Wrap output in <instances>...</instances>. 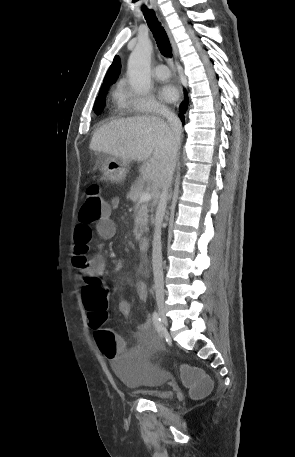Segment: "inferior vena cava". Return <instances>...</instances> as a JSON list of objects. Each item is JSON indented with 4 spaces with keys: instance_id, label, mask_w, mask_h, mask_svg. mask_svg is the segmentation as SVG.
<instances>
[{
    "instance_id": "inferior-vena-cava-1",
    "label": "inferior vena cava",
    "mask_w": 295,
    "mask_h": 457,
    "mask_svg": "<svg viewBox=\"0 0 295 457\" xmlns=\"http://www.w3.org/2000/svg\"><path fill=\"white\" fill-rule=\"evenodd\" d=\"M161 114L167 119V122L174 134V139L179 141L181 133V122L179 118L169 110H164ZM175 168V161L167 166L164 179L161 185V195L156 210L155 217V230L152 243V265L154 273V284L156 298L164 297V278H163V269H162V246H161V224L163 222V217L165 214L167 200L169 196V189L172 184L173 174Z\"/></svg>"
}]
</instances>
